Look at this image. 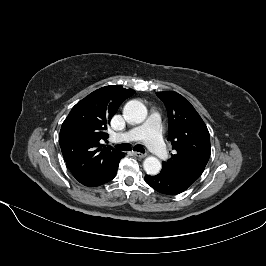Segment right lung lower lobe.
I'll return each instance as SVG.
<instances>
[{"instance_id":"right-lung-lower-lobe-1","label":"right lung lower lobe","mask_w":266,"mask_h":266,"mask_svg":"<svg viewBox=\"0 0 266 266\" xmlns=\"http://www.w3.org/2000/svg\"><path fill=\"white\" fill-rule=\"evenodd\" d=\"M123 157H124V154L121 158H123ZM120 159L114 164V166L108 172H106L105 174L101 175L100 177L93 179V180H91V181H89L83 185L88 186V187H96L99 185H103V184L107 183L108 181L112 180L117 173V168H118Z\"/></svg>"}]
</instances>
